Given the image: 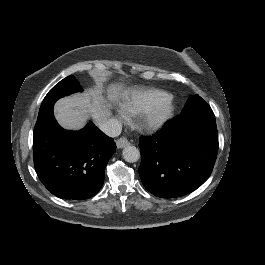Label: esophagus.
Segmentation results:
<instances>
[{
  "mask_svg": "<svg viewBox=\"0 0 265 265\" xmlns=\"http://www.w3.org/2000/svg\"><path fill=\"white\" fill-rule=\"evenodd\" d=\"M116 145L118 148H123V147L129 145V141L125 137H120L117 140Z\"/></svg>",
  "mask_w": 265,
  "mask_h": 265,
  "instance_id": "34e87169",
  "label": "esophagus"
}]
</instances>
